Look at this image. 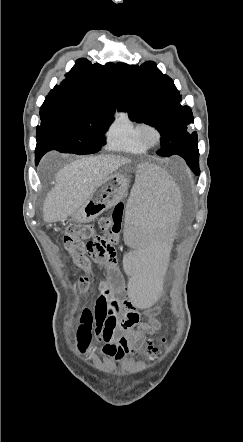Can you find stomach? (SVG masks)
<instances>
[{
	"mask_svg": "<svg viewBox=\"0 0 243 442\" xmlns=\"http://www.w3.org/2000/svg\"><path fill=\"white\" fill-rule=\"evenodd\" d=\"M128 190V181L122 174L115 173L105 178L90 198L72 214L77 223H87L96 219L104 211L122 200Z\"/></svg>",
	"mask_w": 243,
	"mask_h": 442,
	"instance_id": "stomach-1",
	"label": "stomach"
}]
</instances>
